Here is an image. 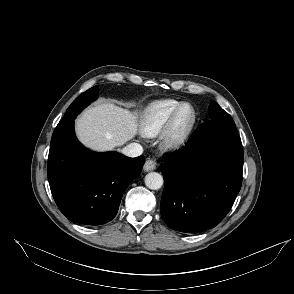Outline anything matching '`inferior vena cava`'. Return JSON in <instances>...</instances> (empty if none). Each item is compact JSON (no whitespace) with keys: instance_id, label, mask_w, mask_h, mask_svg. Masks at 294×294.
<instances>
[{"instance_id":"inferior-vena-cava-1","label":"inferior vena cava","mask_w":294,"mask_h":294,"mask_svg":"<svg viewBox=\"0 0 294 294\" xmlns=\"http://www.w3.org/2000/svg\"><path fill=\"white\" fill-rule=\"evenodd\" d=\"M121 152L128 157H137L143 153V148L138 143H130L125 146Z\"/></svg>"}]
</instances>
